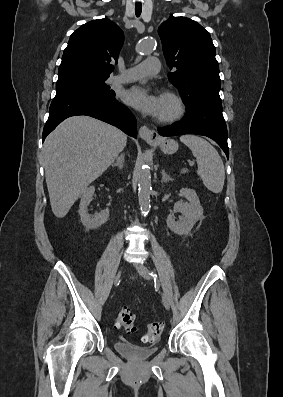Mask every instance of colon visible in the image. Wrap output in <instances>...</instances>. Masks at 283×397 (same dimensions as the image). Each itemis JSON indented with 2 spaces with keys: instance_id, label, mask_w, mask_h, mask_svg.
Here are the masks:
<instances>
[{
  "instance_id": "1",
  "label": "colon",
  "mask_w": 283,
  "mask_h": 397,
  "mask_svg": "<svg viewBox=\"0 0 283 397\" xmlns=\"http://www.w3.org/2000/svg\"><path fill=\"white\" fill-rule=\"evenodd\" d=\"M117 327H123L128 332L135 330L133 314L126 308H120L117 314ZM163 331L161 322H151L147 326L146 333L143 337L145 342H152L159 338Z\"/></svg>"
}]
</instances>
